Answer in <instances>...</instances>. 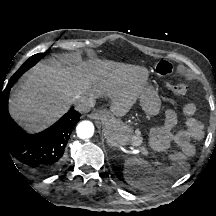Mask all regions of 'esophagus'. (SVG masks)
I'll return each mask as SVG.
<instances>
[{
    "mask_svg": "<svg viewBox=\"0 0 216 216\" xmlns=\"http://www.w3.org/2000/svg\"><path fill=\"white\" fill-rule=\"evenodd\" d=\"M105 116H106L105 112L102 110L94 111L89 115L91 119H95V120H102L105 118Z\"/></svg>",
    "mask_w": 216,
    "mask_h": 216,
    "instance_id": "34e87169",
    "label": "esophagus"
}]
</instances>
